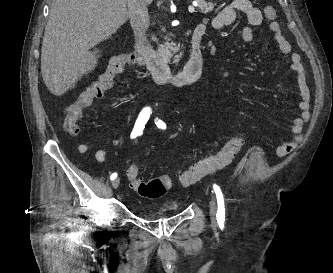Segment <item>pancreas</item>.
I'll list each match as a JSON object with an SVG mask.
<instances>
[{"label": "pancreas", "instance_id": "1", "mask_svg": "<svg viewBox=\"0 0 333 273\" xmlns=\"http://www.w3.org/2000/svg\"><path fill=\"white\" fill-rule=\"evenodd\" d=\"M198 2V8L201 10L202 13L207 14L208 12L212 11L214 8L213 3H208L205 0H197ZM180 49L179 45H176L175 43H164L163 45H160L159 52L162 56L166 57L167 59H170L176 54ZM180 55H175L174 60L176 62L179 61Z\"/></svg>", "mask_w": 333, "mask_h": 273}]
</instances>
